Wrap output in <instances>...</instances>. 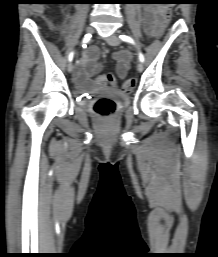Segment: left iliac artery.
Here are the masks:
<instances>
[{"instance_id":"1","label":"left iliac artery","mask_w":218,"mask_h":257,"mask_svg":"<svg viewBox=\"0 0 218 257\" xmlns=\"http://www.w3.org/2000/svg\"><path fill=\"white\" fill-rule=\"evenodd\" d=\"M119 38H120L122 41L129 42V43H131V44L136 45V44H135V41H134L130 36H127V35L122 34V35L119 36ZM139 60H140L141 62H144V55H143L142 52H140V51H139Z\"/></svg>"}]
</instances>
